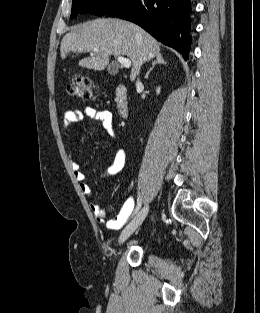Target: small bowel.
I'll return each instance as SVG.
<instances>
[{"label": "small bowel", "mask_w": 260, "mask_h": 313, "mask_svg": "<svg viewBox=\"0 0 260 313\" xmlns=\"http://www.w3.org/2000/svg\"><path fill=\"white\" fill-rule=\"evenodd\" d=\"M84 118L99 122L109 136L113 138L116 137L113 114L108 110L97 109L94 107H86L83 110L75 109L67 111L61 122L63 135L68 137L73 124ZM125 163L126 153L124 150L120 149L116 153L113 163L107 168L106 175L113 176L118 174L124 168ZM70 167L75 180L79 184L80 190L88 197L89 207L98 222L104 225L107 229L114 230L118 229L126 220H128L134 208L133 198L126 197L117 217L107 220L105 210L100 207L92 197L91 188L85 182V174L81 170L80 164L71 159Z\"/></svg>", "instance_id": "c3829d8e"}]
</instances>
